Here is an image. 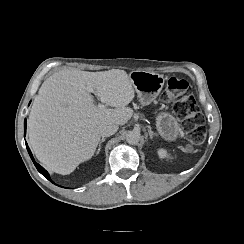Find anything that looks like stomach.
Here are the masks:
<instances>
[{
	"label": "stomach",
	"mask_w": 244,
	"mask_h": 244,
	"mask_svg": "<svg viewBox=\"0 0 244 244\" xmlns=\"http://www.w3.org/2000/svg\"><path fill=\"white\" fill-rule=\"evenodd\" d=\"M130 78L142 106L150 105L159 96L165 84L163 74L144 70L131 72ZM155 126L160 137L169 143L175 142L181 135L177 118L168 111L157 112Z\"/></svg>",
	"instance_id": "1"
}]
</instances>
